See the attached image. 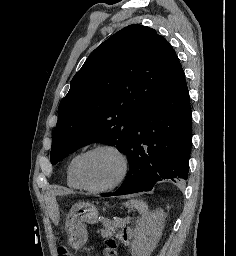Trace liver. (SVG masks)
Returning a JSON list of instances; mask_svg holds the SVG:
<instances>
[{
    "label": "liver",
    "mask_w": 236,
    "mask_h": 256,
    "mask_svg": "<svg viewBox=\"0 0 236 256\" xmlns=\"http://www.w3.org/2000/svg\"><path fill=\"white\" fill-rule=\"evenodd\" d=\"M55 196H57L55 192H47V194H45V202L47 204L48 214L51 220H54V212L57 210V202Z\"/></svg>",
    "instance_id": "liver-1"
}]
</instances>
